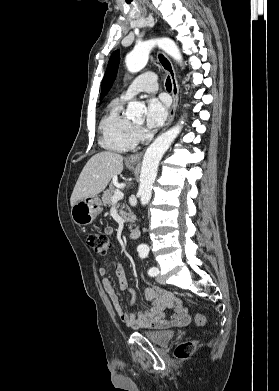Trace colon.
I'll return each instance as SVG.
<instances>
[{"label": "colon", "mask_w": 279, "mask_h": 391, "mask_svg": "<svg viewBox=\"0 0 279 391\" xmlns=\"http://www.w3.org/2000/svg\"><path fill=\"white\" fill-rule=\"evenodd\" d=\"M86 242L89 247L99 256H104L111 249V240L103 233L90 232L86 236ZM195 322L198 325H204L206 323V316L204 314H198L195 316ZM196 348V342L187 341L178 345L175 350V356L179 359L189 358Z\"/></svg>", "instance_id": "colon-1"}]
</instances>
